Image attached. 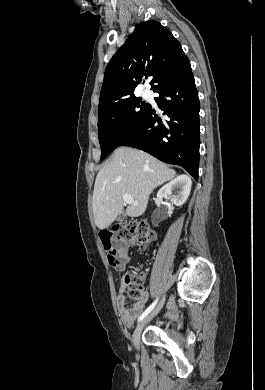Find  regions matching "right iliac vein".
<instances>
[{"label": "right iliac vein", "mask_w": 265, "mask_h": 390, "mask_svg": "<svg viewBox=\"0 0 265 390\" xmlns=\"http://www.w3.org/2000/svg\"><path fill=\"white\" fill-rule=\"evenodd\" d=\"M164 301H165V298H163L160 303L157 305V307L146 317L144 318L136 327V329L134 330V333H133V336H132V341H133V344L135 346V348L138 350L139 347H140V336H141V333L145 327V325L151 320L153 319L154 316L157 315V313L160 311V309L162 308L163 304H164Z\"/></svg>", "instance_id": "63e3f726"}]
</instances>
